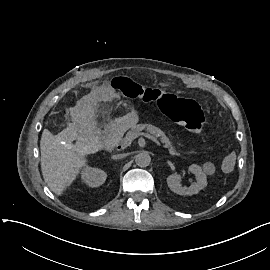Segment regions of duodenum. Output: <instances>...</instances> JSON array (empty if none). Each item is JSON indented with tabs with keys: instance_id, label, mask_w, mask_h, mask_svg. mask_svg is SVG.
Segmentation results:
<instances>
[{
	"instance_id": "duodenum-1",
	"label": "duodenum",
	"mask_w": 270,
	"mask_h": 270,
	"mask_svg": "<svg viewBox=\"0 0 270 270\" xmlns=\"http://www.w3.org/2000/svg\"><path fill=\"white\" fill-rule=\"evenodd\" d=\"M126 124L122 120L112 122L105 131L104 145L107 150L114 149L125 131Z\"/></svg>"
}]
</instances>
